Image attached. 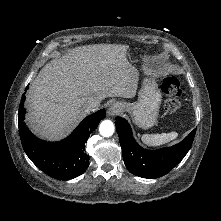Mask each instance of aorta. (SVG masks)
<instances>
[{
  "mask_svg": "<svg viewBox=\"0 0 221 221\" xmlns=\"http://www.w3.org/2000/svg\"><path fill=\"white\" fill-rule=\"evenodd\" d=\"M115 130L114 124L110 120H104L99 126V132L103 137H110Z\"/></svg>",
  "mask_w": 221,
  "mask_h": 221,
  "instance_id": "762f6f07",
  "label": "aorta"
}]
</instances>
